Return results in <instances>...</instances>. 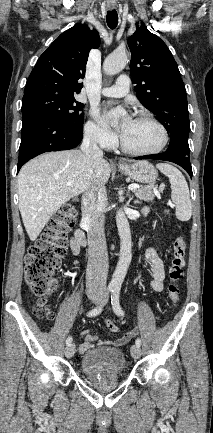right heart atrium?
<instances>
[{
  "mask_svg": "<svg viewBox=\"0 0 213 433\" xmlns=\"http://www.w3.org/2000/svg\"><path fill=\"white\" fill-rule=\"evenodd\" d=\"M84 134L91 142L98 144L103 148H110L115 144V136L104 126L99 124L92 115L84 126Z\"/></svg>",
  "mask_w": 213,
  "mask_h": 433,
  "instance_id": "obj_1",
  "label": "right heart atrium"
}]
</instances>
